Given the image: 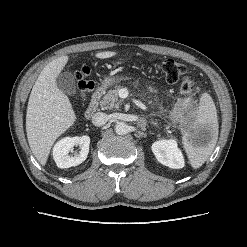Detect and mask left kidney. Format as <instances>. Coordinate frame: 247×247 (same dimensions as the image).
<instances>
[{"label": "left kidney", "instance_id": "obj_1", "mask_svg": "<svg viewBox=\"0 0 247 247\" xmlns=\"http://www.w3.org/2000/svg\"><path fill=\"white\" fill-rule=\"evenodd\" d=\"M152 152L163 165L174 169L184 167V158L175 139L159 140L152 144Z\"/></svg>", "mask_w": 247, "mask_h": 247}]
</instances>
